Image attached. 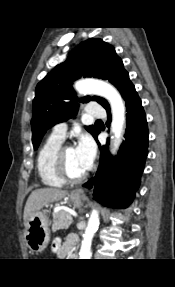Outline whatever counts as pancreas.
Here are the masks:
<instances>
[{"label":"pancreas","mask_w":175,"mask_h":287,"mask_svg":"<svg viewBox=\"0 0 175 287\" xmlns=\"http://www.w3.org/2000/svg\"><path fill=\"white\" fill-rule=\"evenodd\" d=\"M69 215L70 213L65 210L55 213L53 215L52 231L67 229L72 223V220L67 218Z\"/></svg>","instance_id":"cf45deb5"}]
</instances>
